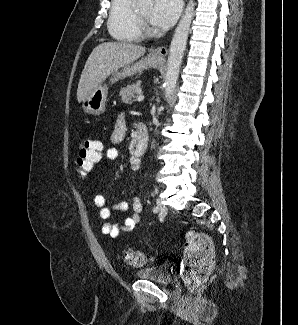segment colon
<instances>
[{
  "mask_svg": "<svg viewBox=\"0 0 298 325\" xmlns=\"http://www.w3.org/2000/svg\"><path fill=\"white\" fill-rule=\"evenodd\" d=\"M102 143L95 139H86L80 147L76 159V172L80 177L90 174L101 158ZM126 264L140 267L148 262V257L139 250L123 252ZM214 269V250L210 238L198 231L186 235L181 276L185 283L195 288L204 284Z\"/></svg>",
  "mask_w": 298,
  "mask_h": 325,
  "instance_id": "1",
  "label": "colon"
}]
</instances>
